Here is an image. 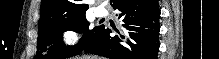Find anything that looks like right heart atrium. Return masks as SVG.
Returning <instances> with one entry per match:
<instances>
[{"instance_id":"right-heart-atrium-1","label":"right heart atrium","mask_w":219,"mask_h":59,"mask_svg":"<svg viewBox=\"0 0 219 59\" xmlns=\"http://www.w3.org/2000/svg\"><path fill=\"white\" fill-rule=\"evenodd\" d=\"M61 38L62 42L67 46H73L78 41V35L72 30L65 31Z\"/></svg>"}]
</instances>
